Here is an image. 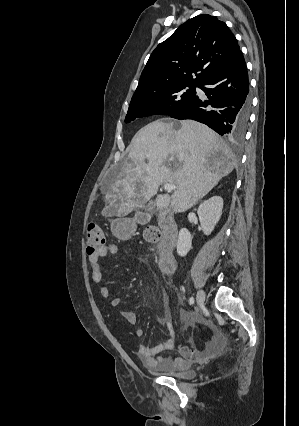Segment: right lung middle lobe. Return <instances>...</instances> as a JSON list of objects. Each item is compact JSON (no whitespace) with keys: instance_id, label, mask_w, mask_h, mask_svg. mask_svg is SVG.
Here are the masks:
<instances>
[{"instance_id":"1","label":"right lung middle lobe","mask_w":299,"mask_h":426,"mask_svg":"<svg viewBox=\"0 0 299 426\" xmlns=\"http://www.w3.org/2000/svg\"><path fill=\"white\" fill-rule=\"evenodd\" d=\"M197 84H178L131 101L125 122L153 114L171 115L183 108L195 95Z\"/></svg>"}]
</instances>
